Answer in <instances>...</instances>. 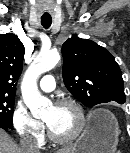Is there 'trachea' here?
Wrapping results in <instances>:
<instances>
[{
  "label": "trachea",
  "mask_w": 130,
  "mask_h": 153,
  "mask_svg": "<svg viewBox=\"0 0 130 153\" xmlns=\"http://www.w3.org/2000/svg\"><path fill=\"white\" fill-rule=\"evenodd\" d=\"M52 23V18L50 16H42L41 17V24L44 28H49Z\"/></svg>",
  "instance_id": "obj_1"
}]
</instances>
